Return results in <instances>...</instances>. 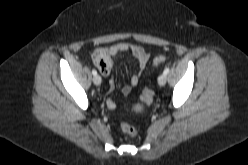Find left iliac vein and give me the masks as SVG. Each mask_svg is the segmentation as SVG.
<instances>
[{"mask_svg":"<svg viewBox=\"0 0 248 165\" xmlns=\"http://www.w3.org/2000/svg\"><path fill=\"white\" fill-rule=\"evenodd\" d=\"M166 80H167L166 75L163 73L158 77V84L160 86H164L166 84Z\"/></svg>","mask_w":248,"mask_h":165,"instance_id":"left-iliac-vein-1","label":"left iliac vein"}]
</instances>
